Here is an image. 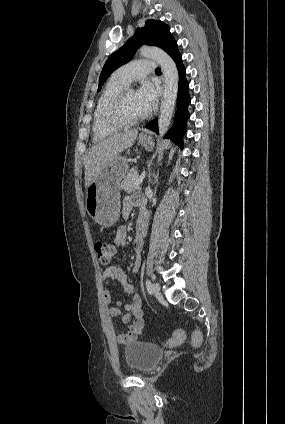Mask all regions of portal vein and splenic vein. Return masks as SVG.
Listing matches in <instances>:
<instances>
[{"label": "portal vein and splenic vein", "mask_w": 285, "mask_h": 424, "mask_svg": "<svg viewBox=\"0 0 285 424\" xmlns=\"http://www.w3.org/2000/svg\"><path fill=\"white\" fill-rule=\"evenodd\" d=\"M144 177H145V172H143L139 177H138V179H137V181H136V186H139L142 182H143V179H144Z\"/></svg>", "instance_id": "obj_1"}]
</instances>
